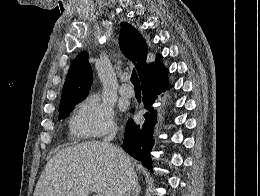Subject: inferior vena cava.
I'll use <instances>...</instances> for the list:
<instances>
[{"label": "inferior vena cava", "mask_w": 260, "mask_h": 196, "mask_svg": "<svg viewBox=\"0 0 260 196\" xmlns=\"http://www.w3.org/2000/svg\"><path fill=\"white\" fill-rule=\"evenodd\" d=\"M115 136V132H110L109 136H107V138H104L102 146H109V148H114L111 142L112 140H114ZM116 160H119V162H126V158H124V156H120V154H117ZM124 196H130V194H124Z\"/></svg>", "instance_id": "inferior-vena-cava-1"}]
</instances>
